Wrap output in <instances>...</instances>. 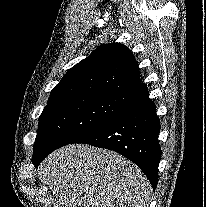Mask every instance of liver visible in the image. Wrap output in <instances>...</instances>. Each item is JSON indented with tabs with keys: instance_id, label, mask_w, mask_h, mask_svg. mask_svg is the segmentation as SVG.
Masks as SVG:
<instances>
[{
	"instance_id": "obj_1",
	"label": "liver",
	"mask_w": 206,
	"mask_h": 207,
	"mask_svg": "<svg viewBox=\"0 0 206 207\" xmlns=\"http://www.w3.org/2000/svg\"><path fill=\"white\" fill-rule=\"evenodd\" d=\"M38 177L54 207H148L151 185L142 171L106 149L71 144L51 153Z\"/></svg>"
}]
</instances>
